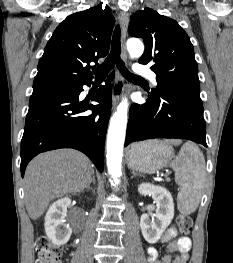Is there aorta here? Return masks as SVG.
<instances>
[{
    "mask_svg": "<svg viewBox=\"0 0 233 263\" xmlns=\"http://www.w3.org/2000/svg\"><path fill=\"white\" fill-rule=\"evenodd\" d=\"M127 49L132 58H138L143 54V43L137 38L127 41ZM128 100L125 98L113 114L107 136V168L113 179V186L119 184L122 175V156L127 126Z\"/></svg>",
    "mask_w": 233,
    "mask_h": 263,
    "instance_id": "762f6f07",
    "label": "aorta"
}]
</instances>
